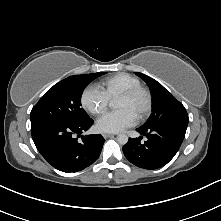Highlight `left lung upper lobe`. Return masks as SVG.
Returning a JSON list of instances; mask_svg holds the SVG:
<instances>
[{
  "label": "left lung upper lobe",
  "mask_w": 221,
  "mask_h": 221,
  "mask_svg": "<svg viewBox=\"0 0 221 221\" xmlns=\"http://www.w3.org/2000/svg\"><path fill=\"white\" fill-rule=\"evenodd\" d=\"M149 86L153 97V111L143 128L156 127L169 123L188 124V114L178 100L159 82L142 73H136Z\"/></svg>",
  "instance_id": "left-lung-upper-lobe-1"
}]
</instances>
